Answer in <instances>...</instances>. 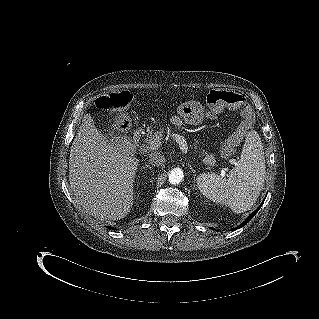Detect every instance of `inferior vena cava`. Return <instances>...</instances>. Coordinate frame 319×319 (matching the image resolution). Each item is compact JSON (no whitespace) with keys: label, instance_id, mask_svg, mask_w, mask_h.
<instances>
[{"label":"inferior vena cava","instance_id":"1","mask_svg":"<svg viewBox=\"0 0 319 319\" xmlns=\"http://www.w3.org/2000/svg\"><path fill=\"white\" fill-rule=\"evenodd\" d=\"M165 157L157 152H154L149 157V162L153 166H162L165 163Z\"/></svg>","mask_w":319,"mask_h":319}]
</instances>
